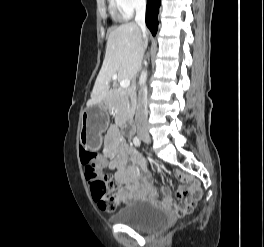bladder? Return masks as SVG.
Masks as SVG:
<instances>
[{"instance_id":"bladder-1","label":"bladder","mask_w":264,"mask_h":247,"mask_svg":"<svg viewBox=\"0 0 264 247\" xmlns=\"http://www.w3.org/2000/svg\"><path fill=\"white\" fill-rule=\"evenodd\" d=\"M112 219L136 230L149 232L163 226L167 211L143 200H133L120 208Z\"/></svg>"}]
</instances>
